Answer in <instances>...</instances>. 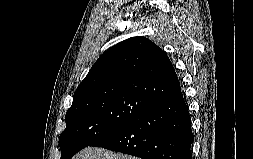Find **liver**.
Listing matches in <instances>:
<instances>
[{"label":"liver","instance_id":"6515ba94","mask_svg":"<svg viewBox=\"0 0 253 159\" xmlns=\"http://www.w3.org/2000/svg\"><path fill=\"white\" fill-rule=\"evenodd\" d=\"M72 159H140L122 153L109 151L98 147H87L77 153Z\"/></svg>","mask_w":253,"mask_h":159}]
</instances>
